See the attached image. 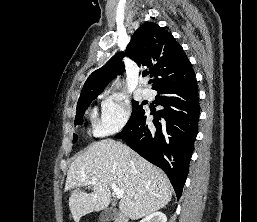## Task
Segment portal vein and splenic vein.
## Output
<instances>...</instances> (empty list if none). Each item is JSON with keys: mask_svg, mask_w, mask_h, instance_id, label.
<instances>
[{"mask_svg": "<svg viewBox=\"0 0 257 222\" xmlns=\"http://www.w3.org/2000/svg\"><path fill=\"white\" fill-rule=\"evenodd\" d=\"M91 184L95 185L96 181L95 180L91 181ZM110 187L112 188V190L114 191L118 199L123 197V191L120 190L115 184H110Z\"/></svg>", "mask_w": 257, "mask_h": 222, "instance_id": "portal-vein-and-splenic-vein-1", "label": "portal vein and splenic vein"}]
</instances>
